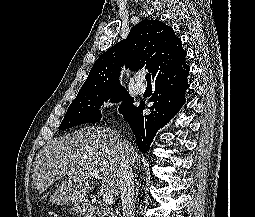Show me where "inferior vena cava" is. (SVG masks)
<instances>
[{
	"mask_svg": "<svg viewBox=\"0 0 255 217\" xmlns=\"http://www.w3.org/2000/svg\"><path fill=\"white\" fill-rule=\"evenodd\" d=\"M129 148L121 153L120 163V192L122 201L123 217H134L135 215V201H134V176L129 163L128 157Z\"/></svg>",
	"mask_w": 255,
	"mask_h": 217,
	"instance_id": "obj_1",
	"label": "inferior vena cava"
}]
</instances>
